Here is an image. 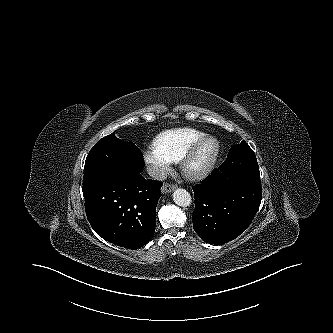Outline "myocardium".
<instances>
[{
    "mask_svg": "<svg viewBox=\"0 0 333 333\" xmlns=\"http://www.w3.org/2000/svg\"><path fill=\"white\" fill-rule=\"evenodd\" d=\"M212 144V150L208 157L198 163L197 158L203 149L208 144ZM220 153L219 141L212 136H204L193 144L182 158L181 168L184 175L191 180L202 179L207 176L215 166Z\"/></svg>",
    "mask_w": 333,
    "mask_h": 333,
    "instance_id": "1",
    "label": "myocardium"
}]
</instances>
